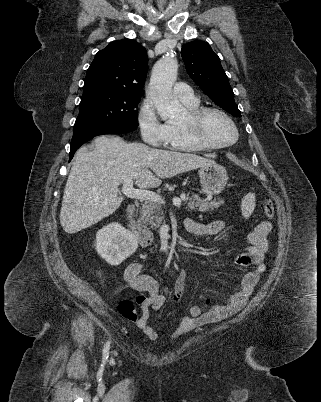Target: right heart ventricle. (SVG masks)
<instances>
[{
	"mask_svg": "<svg viewBox=\"0 0 321 402\" xmlns=\"http://www.w3.org/2000/svg\"><path fill=\"white\" fill-rule=\"evenodd\" d=\"M188 111H193L201 107L200 101L196 99L192 102H183ZM166 145L172 149L180 151H201L204 148L196 144L180 122H168Z\"/></svg>",
	"mask_w": 321,
	"mask_h": 402,
	"instance_id": "right-heart-ventricle-1",
	"label": "right heart ventricle"
}]
</instances>
